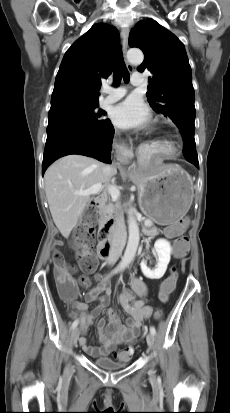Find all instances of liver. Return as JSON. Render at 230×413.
Returning <instances> with one entry per match:
<instances>
[{
    "label": "liver",
    "instance_id": "obj_1",
    "mask_svg": "<svg viewBox=\"0 0 230 413\" xmlns=\"http://www.w3.org/2000/svg\"><path fill=\"white\" fill-rule=\"evenodd\" d=\"M104 166L94 158L71 154L47 169L45 193L53 221L64 238L69 237L90 202V196L76 195L75 191L109 182L111 176L103 173Z\"/></svg>",
    "mask_w": 230,
    "mask_h": 413
}]
</instances>
